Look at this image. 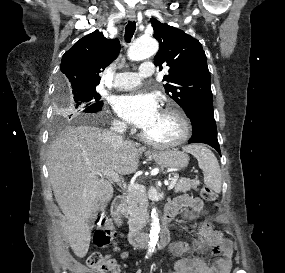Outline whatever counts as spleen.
I'll use <instances>...</instances> for the list:
<instances>
[{"instance_id":"spleen-1","label":"spleen","mask_w":285,"mask_h":273,"mask_svg":"<svg viewBox=\"0 0 285 273\" xmlns=\"http://www.w3.org/2000/svg\"><path fill=\"white\" fill-rule=\"evenodd\" d=\"M198 161L200 169L204 173V182L215 192L221 191V171L217 158L208 148L201 145H191L185 148Z\"/></svg>"}]
</instances>
